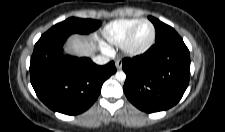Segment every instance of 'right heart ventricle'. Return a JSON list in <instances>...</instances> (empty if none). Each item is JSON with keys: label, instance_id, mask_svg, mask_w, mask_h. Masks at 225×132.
<instances>
[{"label": "right heart ventricle", "instance_id": "e07e8e85", "mask_svg": "<svg viewBox=\"0 0 225 132\" xmlns=\"http://www.w3.org/2000/svg\"><path fill=\"white\" fill-rule=\"evenodd\" d=\"M137 21L135 18H123L109 22L101 30L102 42L106 45H121L127 32Z\"/></svg>", "mask_w": 225, "mask_h": 132}]
</instances>
